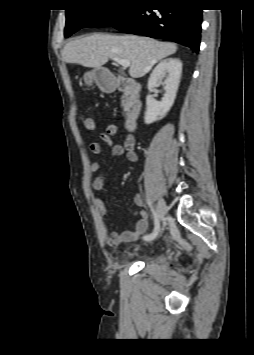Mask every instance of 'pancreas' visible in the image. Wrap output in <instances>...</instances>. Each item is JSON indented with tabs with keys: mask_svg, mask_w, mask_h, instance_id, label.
<instances>
[{
	"mask_svg": "<svg viewBox=\"0 0 254 355\" xmlns=\"http://www.w3.org/2000/svg\"><path fill=\"white\" fill-rule=\"evenodd\" d=\"M121 104H122V106H123L124 108H127L128 105H129V102H128V100H127L125 97H123V99H122V101H121Z\"/></svg>",
	"mask_w": 254,
	"mask_h": 355,
	"instance_id": "pancreas-1",
	"label": "pancreas"
}]
</instances>
